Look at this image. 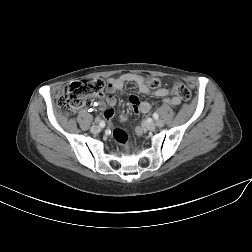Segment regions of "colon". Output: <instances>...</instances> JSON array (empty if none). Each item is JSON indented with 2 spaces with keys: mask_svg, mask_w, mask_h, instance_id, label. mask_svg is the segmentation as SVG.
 <instances>
[{
  "mask_svg": "<svg viewBox=\"0 0 252 252\" xmlns=\"http://www.w3.org/2000/svg\"><path fill=\"white\" fill-rule=\"evenodd\" d=\"M147 87L158 89L161 81L157 77H147L144 79ZM104 89V83L101 80H82L70 84L62 93L58 100V106L65 115H73L77 110L83 108L90 103L92 97L100 96ZM182 100H189L191 92L189 88L182 83H175L172 88ZM135 111L136 108H134ZM127 119V114L122 113V121ZM114 137L119 143H125L127 134L121 129L114 130Z\"/></svg>",
  "mask_w": 252,
  "mask_h": 252,
  "instance_id": "colon-1",
  "label": "colon"
}]
</instances>
